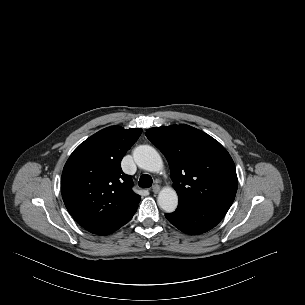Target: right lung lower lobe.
<instances>
[{"label": "right lung lower lobe", "instance_id": "obj_1", "mask_svg": "<svg viewBox=\"0 0 305 305\" xmlns=\"http://www.w3.org/2000/svg\"><path fill=\"white\" fill-rule=\"evenodd\" d=\"M126 223H127V222H126ZM126 223H125V224H126ZM123 225H124V224H123ZM123 225H121V226H123ZM121 226H120V227H121ZM120 227H118L117 229H119ZM117 229H116V230H117ZM113 232H114V231H113Z\"/></svg>", "mask_w": 305, "mask_h": 305}]
</instances>
